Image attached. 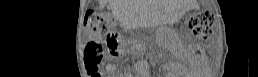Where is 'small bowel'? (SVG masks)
<instances>
[{
	"instance_id": "1",
	"label": "small bowel",
	"mask_w": 258,
	"mask_h": 77,
	"mask_svg": "<svg viewBox=\"0 0 258 77\" xmlns=\"http://www.w3.org/2000/svg\"><path fill=\"white\" fill-rule=\"evenodd\" d=\"M191 64H192V69H194V70L198 69V65H197V63L195 62V60H192V61H191Z\"/></svg>"
}]
</instances>
